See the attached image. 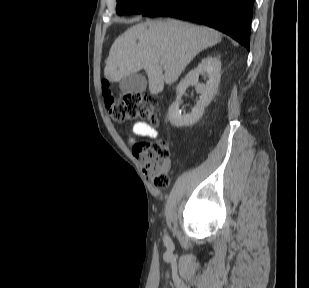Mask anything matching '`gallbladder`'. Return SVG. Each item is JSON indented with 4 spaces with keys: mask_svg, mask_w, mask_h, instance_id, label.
<instances>
[{
    "mask_svg": "<svg viewBox=\"0 0 309 288\" xmlns=\"http://www.w3.org/2000/svg\"><path fill=\"white\" fill-rule=\"evenodd\" d=\"M119 86L123 94L144 92L147 87V80L143 75L139 73H133L123 78L120 81Z\"/></svg>",
    "mask_w": 309,
    "mask_h": 288,
    "instance_id": "obj_1",
    "label": "gallbladder"
}]
</instances>
